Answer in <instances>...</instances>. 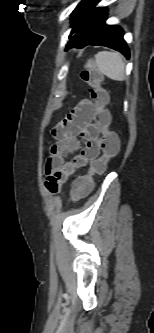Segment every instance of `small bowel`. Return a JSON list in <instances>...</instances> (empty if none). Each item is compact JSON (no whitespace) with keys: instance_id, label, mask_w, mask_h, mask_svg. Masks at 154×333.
Wrapping results in <instances>:
<instances>
[{"instance_id":"c3829d8e","label":"small bowel","mask_w":154,"mask_h":333,"mask_svg":"<svg viewBox=\"0 0 154 333\" xmlns=\"http://www.w3.org/2000/svg\"><path fill=\"white\" fill-rule=\"evenodd\" d=\"M95 114L96 106L83 100L53 129L56 141L50 147L45 166V186L50 193L59 192L77 169L98 158L102 139L94 122ZM74 152L78 154L66 160V155Z\"/></svg>"}]
</instances>
